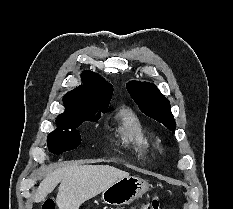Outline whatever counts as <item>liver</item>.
<instances>
[{"label":"liver","mask_w":233,"mask_h":209,"mask_svg":"<svg viewBox=\"0 0 233 209\" xmlns=\"http://www.w3.org/2000/svg\"><path fill=\"white\" fill-rule=\"evenodd\" d=\"M128 172L109 165H72L50 172L40 182L34 196L36 203L45 200L60 183L56 197L59 209H79Z\"/></svg>","instance_id":"6515ba94"}]
</instances>
